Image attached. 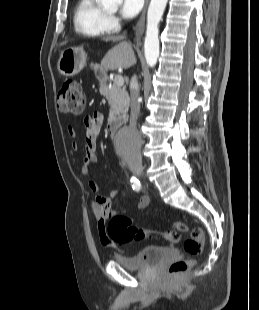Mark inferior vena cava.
<instances>
[{"instance_id":"inferior-vena-cava-1","label":"inferior vena cava","mask_w":259,"mask_h":310,"mask_svg":"<svg viewBox=\"0 0 259 310\" xmlns=\"http://www.w3.org/2000/svg\"><path fill=\"white\" fill-rule=\"evenodd\" d=\"M139 85L137 77L134 75L130 81V107H131V116H130V127L134 129L137 124V119L140 114V102H139ZM132 161L136 164L142 163V157L140 152L136 150Z\"/></svg>"}]
</instances>
